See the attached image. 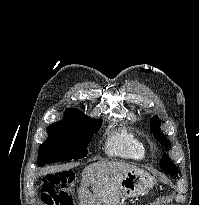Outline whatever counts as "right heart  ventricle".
I'll return each mask as SVG.
<instances>
[{
  "mask_svg": "<svg viewBox=\"0 0 199 205\" xmlns=\"http://www.w3.org/2000/svg\"><path fill=\"white\" fill-rule=\"evenodd\" d=\"M106 152L111 156L133 160H142L147 154L143 141L128 129H121L108 137Z\"/></svg>",
  "mask_w": 199,
  "mask_h": 205,
  "instance_id": "1",
  "label": "right heart ventricle"
}]
</instances>
